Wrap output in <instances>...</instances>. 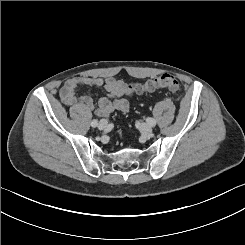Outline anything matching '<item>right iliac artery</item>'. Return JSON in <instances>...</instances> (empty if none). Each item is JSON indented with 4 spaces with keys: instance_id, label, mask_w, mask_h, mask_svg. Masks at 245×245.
Listing matches in <instances>:
<instances>
[{
    "instance_id": "1",
    "label": "right iliac artery",
    "mask_w": 245,
    "mask_h": 245,
    "mask_svg": "<svg viewBox=\"0 0 245 245\" xmlns=\"http://www.w3.org/2000/svg\"><path fill=\"white\" fill-rule=\"evenodd\" d=\"M97 125H98V120H96V119L92 120L91 126L92 127H97Z\"/></svg>"
}]
</instances>
